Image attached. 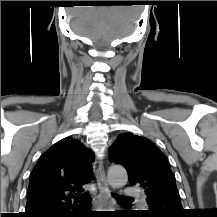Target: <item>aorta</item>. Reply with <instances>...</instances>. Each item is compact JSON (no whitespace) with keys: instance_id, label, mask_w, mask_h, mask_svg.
Listing matches in <instances>:
<instances>
[{"instance_id":"762f6f07","label":"aorta","mask_w":217,"mask_h":217,"mask_svg":"<svg viewBox=\"0 0 217 217\" xmlns=\"http://www.w3.org/2000/svg\"><path fill=\"white\" fill-rule=\"evenodd\" d=\"M107 179L112 188H121L127 184L128 175L125 168L113 165L109 168Z\"/></svg>"}]
</instances>
